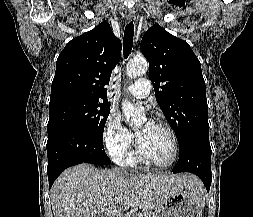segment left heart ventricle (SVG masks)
Instances as JSON below:
<instances>
[{
	"mask_svg": "<svg viewBox=\"0 0 253 217\" xmlns=\"http://www.w3.org/2000/svg\"><path fill=\"white\" fill-rule=\"evenodd\" d=\"M136 132L141 148L149 160L158 164L170 160L173 146L169 134L164 129L141 124Z\"/></svg>",
	"mask_w": 253,
	"mask_h": 217,
	"instance_id": "b2bd125f",
	"label": "left heart ventricle"
}]
</instances>
